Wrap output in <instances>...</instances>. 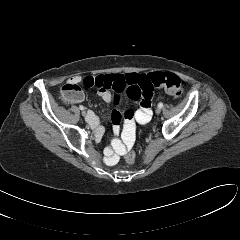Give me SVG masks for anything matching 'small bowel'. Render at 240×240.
Instances as JSON below:
<instances>
[{
	"mask_svg": "<svg viewBox=\"0 0 240 240\" xmlns=\"http://www.w3.org/2000/svg\"><path fill=\"white\" fill-rule=\"evenodd\" d=\"M70 83H83L87 87H96L98 95L106 103L118 104L121 99V94L125 92L130 99L138 100L140 102L139 109L134 113L132 119H125L124 130L133 132L135 122L139 124H146L152 117L151 105L153 97V86L146 74L126 73V74H104L96 76H73L69 79ZM134 89L136 94H131ZM114 92V94L112 93ZM83 100V95L80 98L71 100L72 103H79ZM113 122V132L115 135L119 134L121 114L118 110H114L111 115ZM88 123L95 130L97 138L102 137L104 128L100 124L99 118L93 113H88ZM116 151L123 154L125 149L122 145H115Z\"/></svg>",
	"mask_w": 240,
	"mask_h": 240,
	"instance_id": "small-bowel-1",
	"label": "small bowel"
}]
</instances>
